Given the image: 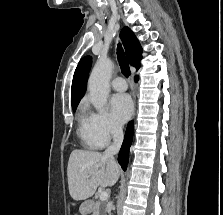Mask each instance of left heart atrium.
<instances>
[{
  "label": "left heart atrium",
  "instance_id": "39dd6f15",
  "mask_svg": "<svg viewBox=\"0 0 223 215\" xmlns=\"http://www.w3.org/2000/svg\"><path fill=\"white\" fill-rule=\"evenodd\" d=\"M114 119L118 123L125 122L132 113V100L127 94H116L110 100Z\"/></svg>",
  "mask_w": 223,
  "mask_h": 215
}]
</instances>
